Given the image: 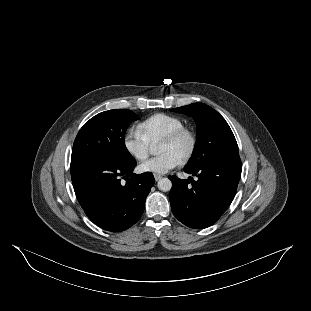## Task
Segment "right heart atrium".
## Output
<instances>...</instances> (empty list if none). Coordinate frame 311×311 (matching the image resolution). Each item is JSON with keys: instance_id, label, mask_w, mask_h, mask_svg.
I'll return each mask as SVG.
<instances>
[{"instance_id": "obj_1", "label": "right heart atrium", "mask_w": 311, "mask_h": 311, "mask_svg": "<svg viewBox=\"0 0 311 311\" xmlns=\"http://www.w3.org/2000/svg\"><path fill=\"white\" fill-rule=\"evenodd\" d=\"M123 146L128 155L138 162L147 159L151 152L150 143L135 127L128 128L123 135Z\"/></svg>"}]
</instances>
